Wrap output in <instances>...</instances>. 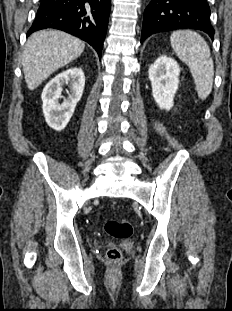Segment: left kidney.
Instances as JSON below:
<instances>
[{
	"instance_id": "1",
	"label": "left kidney",
	"mask_w": 232,
	"mask_h": 311,
	"mask_svg": "<svg viewBox=\"0 0 232 311\" xmlns=\"http://www.w3.org/2000/svg\"><path fill=\"white\" fill-rule=\"evenodd\" d=\"M148 73L155 102L160 109L170 110L179 85L178 63L162 55L149 67Z\"/></svg>"
}]
</instances>
